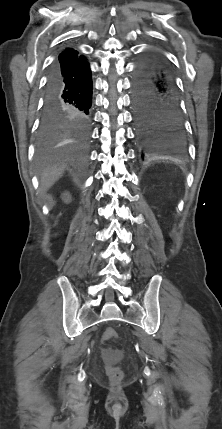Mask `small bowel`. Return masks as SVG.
<instances>
[{"mask_svg": "<svg viewBox=\"0 0 222 429\" xmlns=\"http://www.w3.org/2000/svg\"><path fill=\"white\" fill-rule=\"evenodd\" d=\"M104 354L106 355V356H109V355H112V354H114L112 351H110V350H108V349H105L104 350Z\"/></svg>", "mask_w": 222, "mask_h": 429, "instance_id": "obj_1", "label": "small bowel"}]
</instances>
